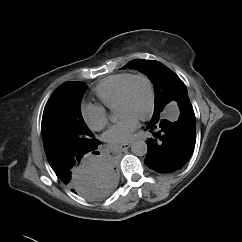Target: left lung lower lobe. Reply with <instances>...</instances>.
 Here are the masks:
<instances>
[{
	"mask_svg": "<svg viewBox=\"0 0 242 242\" xmlns=\"http://www.w3.org/2000/svg\"><path fill=\"white\" fill-rule=\"evenodd\" d=\"M180 115L175 121L154 116L147 129L153 137L147 140L145 164L159 173L181 169L193 153L196 141V118L189 97L177 100Z\"/></svg>",
	"mask_w": 242,
	"mask_h": 242,
	"instance_id": "1",
	"label": "left lung lower lobe"
}]
</instances>
